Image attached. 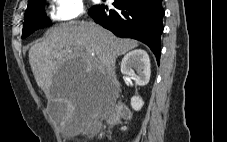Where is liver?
<instances>
[{
	"label": "liver",
	"mask_w": 227,
	"mask_h": 142,
	"mask_svg": "<svg viewBox=\"0 0 227 142\" xmlns=\"http://www.w3.org/2000/svg\"><path fill=\"white\" fill-rule=\"evenodd\" d=\"M137 46L136 40L118 38L94 23L70 22L50 28L46 38L30 48L29 63L48 102L67 105L65 134L80 117L84 100L95 90L92 83L106 80L117 88L116 59ZM65 61H88V66H82L84 78H56V73L75 68L65 66Z\"/></svg>",
	"instance_id": "liver-1"
}]
</instances>
